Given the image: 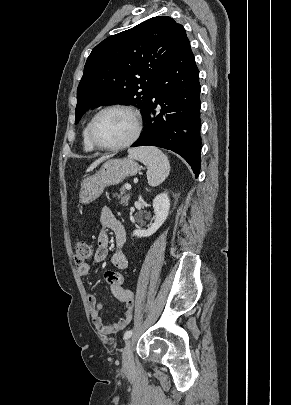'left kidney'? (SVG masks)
<instances>
[{
    "mask_svg": "<svg viewBox=\"0 0 291 405\" xmlns=\"http://www.w3.org/2000/svg\"><path fill=\"white\" fill-rule=\"evenodd\" d=\"M153 208L155 213L154 223L145 230H134L132 234L133 236L138 238L149 237L163 225L169 215L170 209V199L168 194L164 192L157 195L153 200Z\"/></svg>",
    "mask_w": 291,
    "mask_h": 405,
    "instance_id": "left-kidney-1",
    "label": "left kidney"
}]
</instances>
